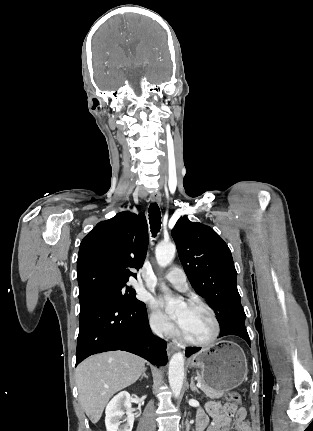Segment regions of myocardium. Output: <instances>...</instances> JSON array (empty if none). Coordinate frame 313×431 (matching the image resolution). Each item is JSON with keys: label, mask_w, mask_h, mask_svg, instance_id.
<instances>
[{"label": "myocardium", "mask_w": 313, "mask_h": 431, "mask_svg": "<svg viewBox=\"0 0 313 431\" xmlns=\"http://www.w3.org/2000/svg\"><path fill=\"white\" fill-rule=\"evenodd\" d=\"M186 306L189 308H200V309H203L206 312H208V314L210 315V317L212 318V321L214 323V333L209 340L203 341V342H198V341H193V340L188 339L186 336H184L182 334L180 329H178L177 330L178 339L182 343L187 344L189 346H194V347H209V346L213 345L217 341V339L219 338L220 333H221L220 321H219L215 311L211 307H209L208 305H206L202 302H198V301H190L189 303L186 304Z\"/></svg>", "instance_id": "1"}]
</instances>
